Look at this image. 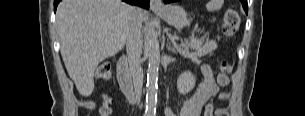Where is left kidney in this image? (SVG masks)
Wrapping results in <instances>:
<instances>
[{"mask_svg":"<svg viewBox=\"0 0 305 116\" xmlns=\"http://www.w3.org/2000/svg\"><path fill=\"white\" fill-rule=\"evenodd\" d=\"M195 83V76L190 71H185L177 79V89L180 94L185 95L194 88Z\"/></svg>","mask_w":305,"mask_h":116,"instance_id":"5707ae66","label":"left kidney"}]
</instances>
